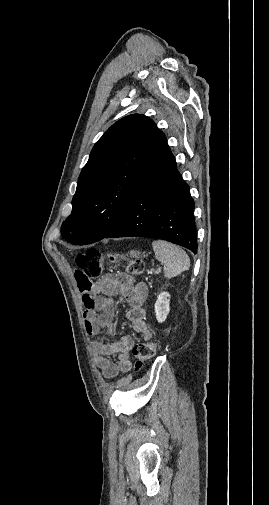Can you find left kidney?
Masks as SVG:
<instances>
[{"instance_id": "left-kidney-1", "label": "left kidney", "mask_w": 269, "mask_h": 505, "mask_svg": "<svg viewBox=\"0 0 269 505\" xmlns=\"http://www.w3.org/2000/svg\"><path fill=\"white\" fill-rule=\"evenodd\" d=\"M155 314L159 323L166 320L170 311V294L168 292H161L155 302Z\"/></svg>"}]
</instances>
